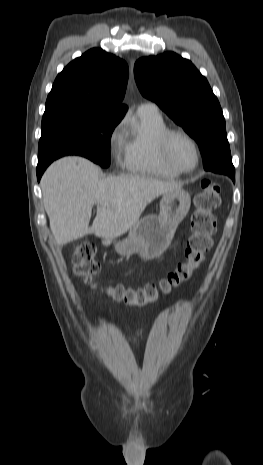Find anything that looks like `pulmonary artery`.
I'll return each mask as SVG.
<instances>
[{"label": "pulmonary artery", "mask_w": 263, "mask_h": 465, "mask_svg": "<svg viewBox=\"0 0 263 465\" xmlns=\"http://www.w3.org/2000/svg\"><path fill=\"white\" fill-rule=\"evenodd\" d=\"M138 110L139 111H149V112L159 113L158 106L155 103H152V102L142 103L139 106Z\"/></svg>", "instance_id": "obj_1"}]
</instances>
